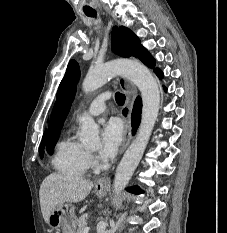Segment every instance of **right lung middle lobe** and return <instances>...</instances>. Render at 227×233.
Instances as JSON below:
<instances>
[{"instance_id":"right-lung-middle-lobe-1","label":"right lung middle lobe","mask_w":227,"mask_h":233,"mask_svg":"<svg viewBox=\"0 0 227 233\" xmlns=\"http://www.w3.org/2000/svg\"><path fill=\"white\" fill-rule=\"evenodd\" d=\"M43 154H44V149L40 148V156H41V158L43 157Z\"/></svg>"}]
</instances>
